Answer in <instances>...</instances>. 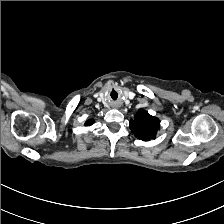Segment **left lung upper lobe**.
Listing matches in <instances>:
<instances>
[{"label":"left lung upper lobe","mask_w":224,"mask_h":224,"mask_svg":"<svg viewBox=\"0 0 224 224\" xmlns=\"http://www.w3.org/2000/svg\"><path fill=\"white\" fill-rule=\"evenodd\" d=\"M159 119L151 116L145 110H138L134 120L130 121V129L135 136L143 141H149L155 138L159 129Z\"/></svg>","instance_id":"obj_1"}]
</instances>
